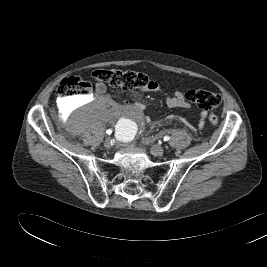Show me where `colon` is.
Masks as SVG:
<instances>
[{
	"instance_id": "1",
	"label": "colon",
	"mask_w": 267,
	"mask_h": 267,
	"mask_svg": "<svg viewBox=\"0 0 267 267\" xmlns=\"http://www.w3.org/2000/svg\"><path fill=\"white\" fill-rule=\"evenodd\" d=\"M92 76L97 81L107 83L112 87L128 90L150 89L156 83L144 73L118 69H97L93 71ZM91 90L92 85L90 82L70 77L63 79L59 83L56 93L58 96L66 99L87 96ZM185 98L189 103H193L203 110H212L221 104V97L218 94L206 90H189L186 92ZM208 120L213 126H216L219 122L218 117L213 113L209 114Z\"/></svg>"
}]
</instances>
